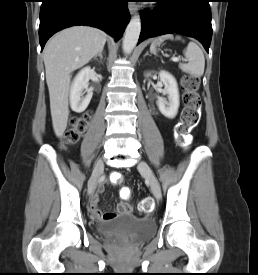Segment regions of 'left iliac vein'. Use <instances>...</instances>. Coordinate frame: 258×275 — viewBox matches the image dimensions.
<instances>
[{
    "label": "left iliac vein",
    "mask_w": 258,
    "mask_h": 275,
    "mask_svg": "<svg viewBox=\"0 0 258 275\" xmlns=\"http://www.w3.org/2000/svg\"><path fill=\"white\" fill-rule=\"evenodd\" d=\"M138 170L149 181L150 187H151V191H152L154 197L157 200H160L161 199L160 186H159V183H158V181H157L154 173L152 172L151 168L149 167V165L146 162H144V161H140L139 164H138Z\"/></svg>",
    "instance_id": "left-iliac-vein-1"
}]
</instances>
